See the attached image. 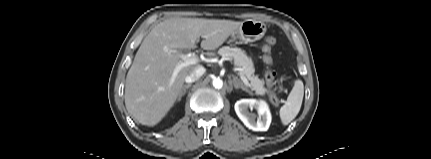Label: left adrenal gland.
I'll return each instance as SVG.
<instances>
[{
    "label": "left adrenal gland",
    "instance_id": "obj_1",
    "mask_svg": "<svg viewBox=\"0 0 431 159\" xmlns=\"http://www.w3.org/2000/svg\"><path fill=\"white\" fill-rule=\"evenodd\" d=\"M230 84L233 85L235 89H242L252 95V92L246 88L237 77L233 76V80L230 81Z\"/></svg>",
    "mask_w": 431,
    "mask_h": 159
}]
</instances>
